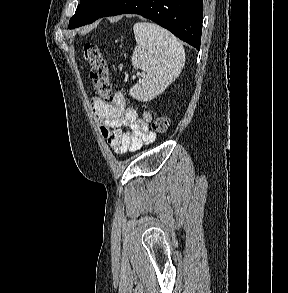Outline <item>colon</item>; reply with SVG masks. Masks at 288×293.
Here are the masks:
<instances>
[{
	"label": "colon",
	"instance_id": "5ec220e1",
	"mask_svg": "<svg viewBox=\"0 0 288 293\" xmlns=\"http://www.w3.org/2000/svg\"><path fill=\"white\" fill-rule=\"evenodd\" d=\"M84 58L90 64V78L95 92L105 101L110 102L111 85L109 81V70L105 59L99 48L92 43L84 45ZM152 127L158 134H165L169 128V120L163 116H157L152 122Z\"/></svg>",
	"mask_w": 288,
	"mask_h": 293
}]
</instances>
